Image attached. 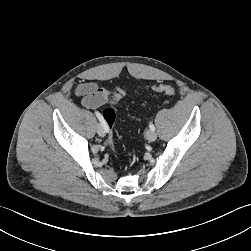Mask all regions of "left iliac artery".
I'll return each mask as SVG.
<instances>
[{
  "mask_svg": "<svg viewBox=\"0 0 251 251\" xmlns=\"http://www.w3.org/2000/svg\"><path fill=\"white\" fill-rule=\"evenodd\" d=\"M150 130L155 131V127L152 122L149 123Z\"/></svg>",
  "mask_w": 251,
  "mask_h": 251,
  "instance_id": "left-iliac-artery-1",
  "label": "left iliac artery"
}]
</instances>
